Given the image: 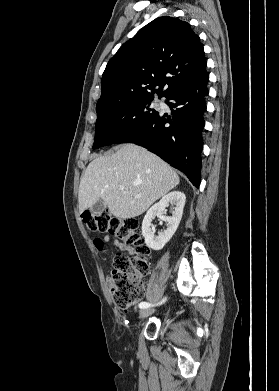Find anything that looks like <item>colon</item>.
Instances as JSON below:
<instances>
[{"mask_svg":"<svg viewBox=\"0 0 279 391\" xmlns=\"http://www.w3.org/2000/svg\"><path fill=\"white\" fill-rule=\"evenodd\" d=\"M82 219L90 232L109 233L116 241L137 249L138 255L134 258L123 253L116 254L109 276V290L113 302L121 309L131 308L144 296L141 277L149 268L146 260L149 248L141 235L139 221L135 218L114 217L108 212H87ZM94 243L98 250H103L102 239L96 238Z\"/></svg>","mask_w":279,"mask_h":391,"instance_id":"1","label":"colon"}]
</instances>
